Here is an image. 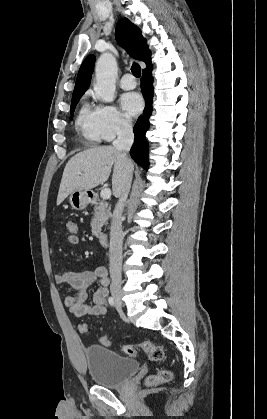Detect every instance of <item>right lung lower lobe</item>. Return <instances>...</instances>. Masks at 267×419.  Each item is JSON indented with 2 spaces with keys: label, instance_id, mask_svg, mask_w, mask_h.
<instances>
[{
  "label": "right lung lower lobe",
  "instance_id": "98d812e1",
  "mask_svg": "<svg viewBox=\"0 0 267 419\" xmlns=\"http://www.w3.org/2000/svg\"><path fill=\"white\" fill-rule=\"evenodd\" d=\"M152 65L143 70L141 79V90L145 99V109L142 115L138 118L133 132L135 134V141L130 150L132 159L143 167L148 169V143L145 134L149 129V117L152 114V100H153V78L151 75Z\"/></svg>",
  "mask_w": 267,
  "mask_h": 419
}]
</instances>
